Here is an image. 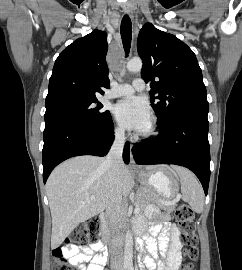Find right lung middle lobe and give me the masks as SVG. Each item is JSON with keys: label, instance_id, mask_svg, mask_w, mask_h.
Listing matches in <instances>:
<instances>
[{"label": "right lung middle lobe", "instance_id": "dd1d6c3e", "mask_svg": "<svg viewBox=\"0 0 242 270\" xmlns=\"http://www.w3.org/2000/svg\"><path fill=\"white\" fill-rule=\"evenodd\" d=\"M94 103H97V99L70 100L46 106L45 121L56 116L77 114L94 122H102L110 112L101 110V103L98 102L96 107Z\"/></svg>", "mask_w": 242, "mask_h": 270}]
</instances>
